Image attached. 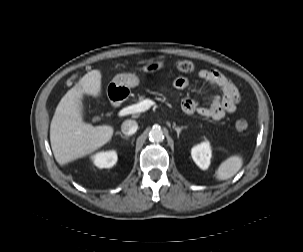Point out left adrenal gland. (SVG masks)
I'll use <instances>...</instances> for the list:
<instances>
[{"label": "left adrenal gland", "mask_w": 303, "mask_h": 252, "mask_svg": "<svg viewBox=\"0 0 303 252\" xmlns=\"http://www.w3.org/2000/svg\"><path fill=\"white\" fill-rule=\"evenodd\" d=\"M186 128H187V126L176 127V124L173 123V129L177 132V136H178V137H179L181 131H182L183 129H186Z\"/></svg>", "instance_id": "obj_1"}]
</instances>
